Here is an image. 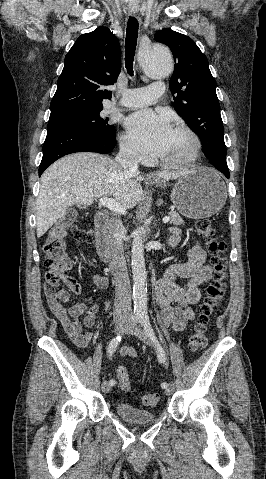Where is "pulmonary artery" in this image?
<instances>
[{
  "label": "pulmonary artery",
  "instance_id": "obj_1",
  "mask_svg": "<svg viewBox=\"0 0 266 479\" xmlns=\"http://www.w3.org/2000/svg\"><path fill=\"white\" fill-rule=\"evenodd\" d=\"M164 90L165 85L161 81L145 87L128 89L121 93L122 99L118 105L127 108L148 106L155 103L163 95Z\"/></svg>",
  "mask_w": 266,
  "mask_h": 479
}]
</instances>
